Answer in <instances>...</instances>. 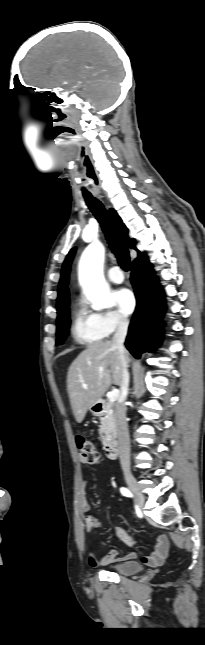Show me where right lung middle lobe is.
<instances>
[{
  "label": "right lung middle lobe",
  "mask_w": 205,
  "mask_h": 645,
  "mask_svg": "<svg viewBox=\"0 0 205 645\" xmlns=\"http://www.w3.org/2000/svg\"><path fill=\"white\" fill-rule=\"evenodd\" d=\"M69 326H70V315H69V308L67 307L57 317V340H56L57 345L61 344L64 338L68 335Z\"/></svg>",
  "instance_id": "dd1d6c3e"
}]
</instances>
